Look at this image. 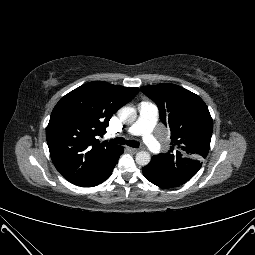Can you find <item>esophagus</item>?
<instances>
[{
	"label": "esophagus",
	"instance_id": "obj_1",
	"mask_svg": "<svg viewBox=\"0 0 255 255\" xmlns=\"http://www.w3.org/2000/svg\"><path fill=\"white\" fill-rule=\"evenodd\" d=\"M127 150L130 151L131 153H137L139 151V149L132 147H128Z\"/></svg>",
	"mask_w": 255,
	"mask_h": 255
}]
</instances>
